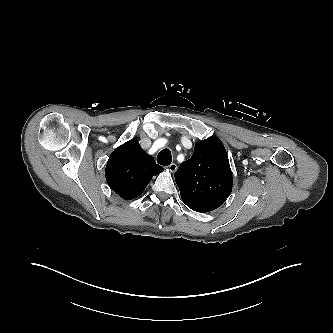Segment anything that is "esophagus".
I'll use <instances>...</instances> for the list:
<instances>
[{"instance_id": "esophagus-1", "label": "esophagus", "mask_w": 333, "mask_h": 333, "mask_svg": "<svg viewBox=\"0 0 333 333\" xmlns=\"http://www.w3.org/2000/svg\"><path fill=\"white\" fill-rule=\"evenodd\" d=\"M177 169V165L175 163H171L168 167H167V170L170 171V172H175Z\"/></svg>"}]
</instances>
